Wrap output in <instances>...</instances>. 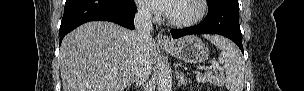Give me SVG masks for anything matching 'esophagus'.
<instances>
[{
    "mask_svg": "<svg viewBox=\"0 0 304 91\" xmlns=\"http://www.w3.org/2000/svg\"><path fill=\"white\" fill-rule=\"evenodd\" d=\"M157 43L161 46H169L171 45V41L170 38L168 37V35L163 34V33H159L157 35Z\"/></svg>",
    "mask_w": 304,
    "mask_h": 91,
    "instance_id": "34e87169",
    "label": "esophagus"
}]
</instances>
